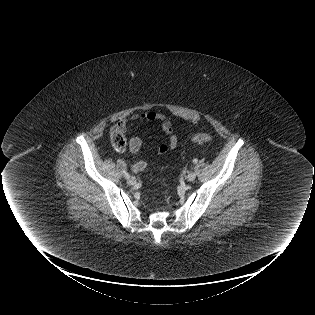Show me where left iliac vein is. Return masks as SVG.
Wrapping results in <instances>:
<instances>
[{"instance_id": "obj_1", "label": "left iliac vein", "mask_w": 315, "mask_h": 315, "mask_svg": "<svg viewBox=\"0 0 315 315\" xmlns=\"http://www.w3.org/2000/svg\"><path fill=\"white\" fill-rule=\"evenodd\" d=\"M186 178H187V180H189V181H193V180L196 178V173L193 172V171H191V172H189V173L187 174Z\"/></svg>"}]
</instances>
